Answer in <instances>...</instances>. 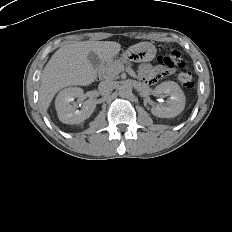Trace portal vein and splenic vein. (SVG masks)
Returning a JSON list of instances; mask_svg holds the SVG:
<instances>
[{
    "instance_id": "obj_1",
    "label": "portal vein and splenic vein",
    "mask_w": 232,
    "mask_h": 232,
    "mask_svg": "<svg viewBox=\"0 0 232 232\" xmlns=\"http://www.w3.org/2000/svg\"><path fill=\"white\" fill-rule=\"evenodd\" d=\"M129 74H130L132 77H136V74H135V72H134L133 70H130V71H129Z\"/></svg>"
}]
</instances>
